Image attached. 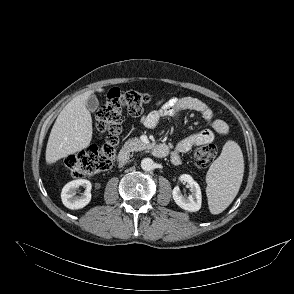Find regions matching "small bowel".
I'll return each instance as SVG.
<instances>
[{
    "label": "small bowel",
    "mask_w": 294,
    "mask_h": 294,
    "mask_svg": "<svg viewBox=\"0 0 294 294\" xmlns=\"http://www.w3.org/2000/svg\"><path fill=\"white\" fill-rule=\"evenodd\" d=\"M187 110L200 113L211 129L203 130L181 140L170 155V159L175 165L180 164L182 155L189 152L195 145L212 142L216 134L225 135L228 132L227 124L223 120L215 118L212 109L195 97H173L161 100L154 110L142 117L141 122L145 127L152 129L158 125L162 118L170 117L178 120L181 112Z\"/></svg>",
    "instance_id": "c3829d8e"
}]
</instances>
